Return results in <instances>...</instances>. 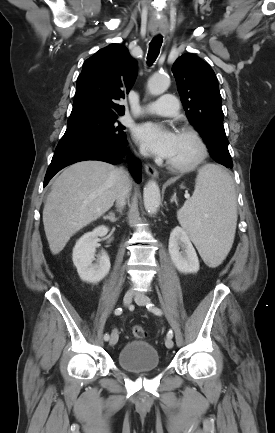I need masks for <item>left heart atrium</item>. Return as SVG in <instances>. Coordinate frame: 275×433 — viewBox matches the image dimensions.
<instances>
[{"mask_svg": "<svg viewBox=\"0 0 275 433\" xmlns=\"http://www.w3.org/2000/svg\"><path fill=\"white\" fill-rule=\"evenodd\" d=\"M176 133L171 129L155 122L138 125L134 136L150 153L168 158L174 148Z\"/></svg>", "mask_w": 275, "mask_h": 433, "instance_id": "left-heart-atrium-1", "label": "left heart atrium"}]
</instances>
